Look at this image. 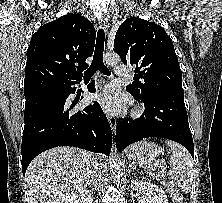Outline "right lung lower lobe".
Instances as JSON below:
<instances>
[{
  "instance_id": "98d812e1",
  "label": "right lung lower lobe",
  "mask_w": 222,
  "mask_h": 203,
  "mask_svg": "<svg viewBox=\"0 0 222 203\" xmlns=\"http://www.w3.org/2000/svg\"><path fill=\"white\" fill-rule=\"evenodd\" d=\"M80 80L60 83L25 95V126L22 137V172L40 153L57 146H74L109 155L112 147L110 124L94 102L75 111L66 102ZM95 92V85H88Z\"/></svg>"
}]
</instances>
